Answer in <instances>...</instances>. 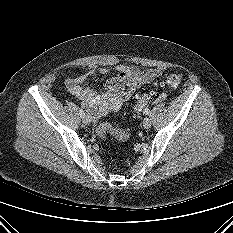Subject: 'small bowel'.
I'll return each instance as SVG.
<instances>
[{"mask_svg": "<svg viewBox=\"0 0 233 233\" xmlns=\"http://www.w3.org/2000/svg\"><path fill=\"white\" fill-rule=\"evenodd\" d=\"M104 82V90L97 91L86 85V81L96 75H108ZM162 75V70H140L136 66L117 64L89 71L75 78L65 79L69 92L93 109L97 116L108 112L119 111L136 90L151 83Z\"/></svg>", "mask_w": 233, "mask_h": 233, "instance_id": "obj_1", "label": "small bowel"}]
</instances>
